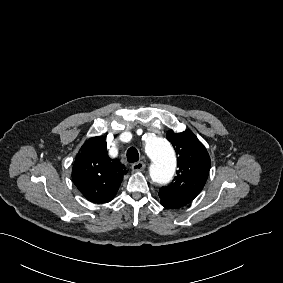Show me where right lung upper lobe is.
I'll return each mask as SVG.
<instances>
[{
  "instance_id": "right-lung-upper-lobe-1",
  "label": "right lung upper lobe",
  "mask_w": 283,
  "mask_h": 283,
  "mask_svg": "<svg viewBox=\"0 0 283 283\" xmlns=\"http://www.w3.org/2000/svg\"><path fill=\"white\" fill-rule=\"evenodd\" d=\"M105 137L87 140L77 154L72 179L80 192L93 203H107L116 195L127 170L118 159L107 155Z\"/></svg>"
}]
</instances>
